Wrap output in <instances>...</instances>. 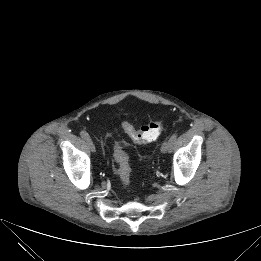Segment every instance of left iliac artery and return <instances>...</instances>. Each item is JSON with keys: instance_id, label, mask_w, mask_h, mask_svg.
Instances as JSON below:
<instances>
[{"instance_id": "44dca946", "label": "left iliac artery", "mask_w": 261, "mask_h": 261, "mask_svg": "<svg viewBox=\"0 0 261 261\" xmlns=\"http://www.w3.org/2000/svg\"><path fill=\"white\" fill-rule=\"evenodd\" d=\"M177 139V133H174L170 138H169V144H170V149L174 146L175 142Z\"/></svg>"}]
</instances>
